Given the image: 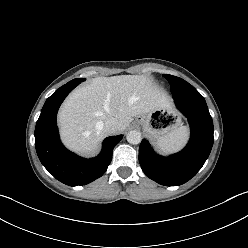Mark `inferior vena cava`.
Returning <instances> with one entry per match:
<instances>
[{
    "label": "inferior vena cava",
    "mask_w": 248,
    "mask_h": 248,
    "mask_svg": "<svg viewBox=\"0 0 248 248\" xmlns=\"http://www.w3.org/2000/svg\"><path fill=\"white\" fill-rule=\"evenodd\" d=\"M103 128L107 134H114L118 131L119 122L115 118H109L104 122Z\"/></svg>",
    "instance_id": "602c4592"
}]
</instances>
